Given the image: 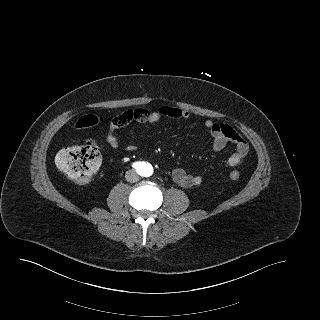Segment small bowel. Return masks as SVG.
I'll list each match as a JSON object with an SVG mask.
<instances>
[{
	"label": "small bowel",
	"instance_id": "small-bowel-1",
	"mask_svg": "<svg viewBox=\"0 0 320 320\" xmlns=\"http://www.w3.org/2000/svg\"><path fill=\"white\" fill-rule=\"evenodd\" d=\"M190 117L187 110L177 107L163 105L155 111H149L144 108L129 109L121 112L109 124L106 141L113 149L120 146L117 130L133 122L139 124H153L161 119L186 120ZM205 127L209 130L212 138V150L219 152L226 147L228 143L235 145V152L225 162V167L235 168L243 163L248 154V145L245 140L229 125L216 123L211 120L205 121ZM134 145H128L127 150L135 151ZM173 181L183 188H192L200 185L203 177L199 174L189 173L182 168H175L172 171Z\"/></svg>",
	"mask_w": 320,
	"mask_h": 320
}]
</instances>
